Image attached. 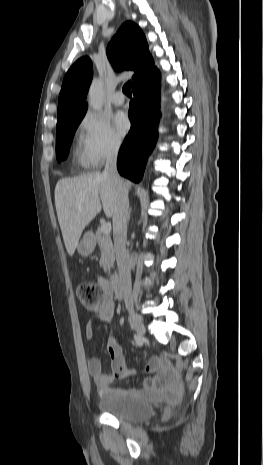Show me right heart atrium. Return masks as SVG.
Wrapping results in <instances>:
<instances>
[{"label":"right heart atrium","mask_w":263,"mask_h":465,"mask_svg":"<svg viewBox=\"0 0 263 465\" xmlns=\"http://www.w3.org/2000/svg\"><path fill=\"white\" fill-rule=\"evenodd\" d=\"M77 136L80 161L90 169L99 168L106 160L115 157L122 146V139L110 123L91 112L79 123Z\"/></svg>","instance_id":"obj_1"}]
</instances>
